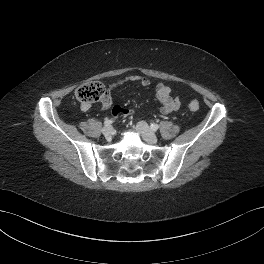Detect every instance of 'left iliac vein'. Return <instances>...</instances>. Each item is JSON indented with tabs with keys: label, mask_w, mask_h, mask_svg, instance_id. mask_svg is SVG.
I'll return each mask as SVG.
<instances>
[{
	"label": "left iliac vein",
	"mask_w": 264,
	"mask_h": 264,
	"mask_svg": "<svg viewBox=\"0 0 264 264\" xmlns=\"http://www.w3.org/2000/svg\"><path fill=\"white\" fill-rule=\"evenodd\" d=\"M136 130L142 135L143 139L151 144H155L158 141L155 133L149 128L147 123L140 121L136 125Z\"/></svg>",
	"instance_id": "4c4485c4"
}]
</instances>
